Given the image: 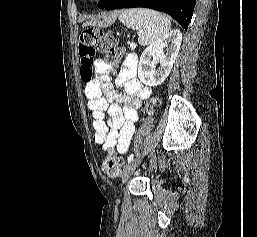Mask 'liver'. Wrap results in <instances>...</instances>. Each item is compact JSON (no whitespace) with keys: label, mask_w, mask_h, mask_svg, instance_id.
<instances>
[{"label":"liver","mask_w":257,"mask_h":237,"mask_svg":"<svg viewBox=\"0 0 257 237\" xmlns=\"http://www.w3.org/2000/svg\"><path fill=\"white\" fill-rule=\"evenodd\" d=\"M117 18V13H112L105 17V23L112 24Z\"/></svg>","instance_id":"6515ba94"}]
</instances>
